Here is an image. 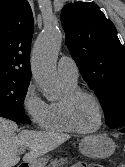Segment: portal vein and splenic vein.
Returning a JSON list of instances; mask_svg holds the SVG:
<instances>
[{"label": "portal vein and splenic vein", "mask_w": 125, "mask_h": 167, "mask_svg": "<svg viewBox=\"0 0 125 167\" xmlns=\"http://www.w3.org/2000/svg\"><path fill=\"white\" fill-rule=\"evenodd\" d=\"M20 151L24 152L25 151V147L20 148Z\"/></svg>", "instance_id": "18ae733b"}]
</instances>
